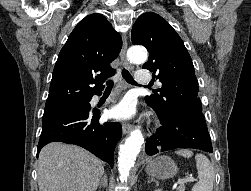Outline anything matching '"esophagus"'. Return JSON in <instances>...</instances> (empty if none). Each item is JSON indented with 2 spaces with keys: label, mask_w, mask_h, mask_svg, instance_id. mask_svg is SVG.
Segmentation results:
<instances>
[{
  "label": "esophagus",
  "mask_w": 251,
  "mask_h": 191,
  "mask_svg": "<svg viewBox=\"0 0 251 191\" xmlns=\"http://www.w3.org/2000/svg\"><path fill=\"white\" fill-rule=\"evenodd\" d=\"M126 51H127V37H126V35H124L122 49L120 51V58H121L122 63L125 65V67L132 70L133 66L127 60ZM132 130H133V125L127 124V123L123 124L122 131L124 134L130 133Z\"/></svg>",
  "instance_id": "34e87169"
}]
</instances>
